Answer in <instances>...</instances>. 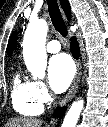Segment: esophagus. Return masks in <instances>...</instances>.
Masks as SVG:
<instances>
[{
    "mask_svg": "<svg viewBox=\"0 0 108 127\" xmlns=\"http://www.w3.org/2000/svg\"><path fill=\"white\" fill-rule=\"evenodd\" d=\"M65 17V15H64ZM70 36L72 35V32L69 31ZM81 70H82V65L80 60H77V72H76V76L75 79L73 81V84L68 92V94L66 95L65 99L62 101V106H64L74 95V93L76 92L78 86H79V81H80V77H81Z\"/></svg>",
    "mask_w": 108,
    "mask_h": 127,
    "instance_id": "obj_1",
    "label": "esophagus"
}]
</instances>
